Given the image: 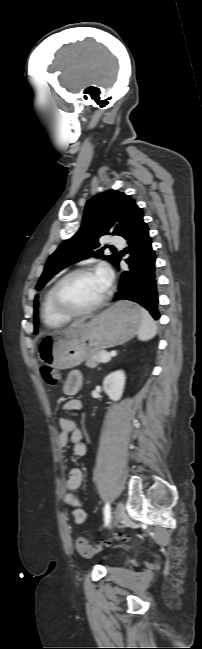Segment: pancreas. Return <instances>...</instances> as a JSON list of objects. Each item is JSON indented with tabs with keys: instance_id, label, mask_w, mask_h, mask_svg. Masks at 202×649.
Wrapping results in <instances>:
<instances>
[{
	"instance_id": "1",
	"label": "pancreas",
	"mask_w": 202,
	"mask_h": 649,
	"mask_svg": "<svg viewBox=\"0 0 202 649\" xmlns=\"http://www.w3.org/2000/svg\"><path fill=\"white\" fill-rule=\"evenodd\" d=\"M102 353H108V352L105 351V350L98 351L93 356H91L90 358L87 359L86 366L89 367V368H95L99 363H101L100 355Z\"/></svg>"
}]
</instances>
